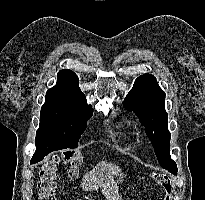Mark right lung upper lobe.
<instances>
[{"label": "right lung upper lobe", "instance_id": "1", "mask_svg": "<svg viewBox=\"0 0 205 200\" xmlns=\"http://www.w3.org/2000/svg\"><path fill=\"white\" fill-rule=\"evenodd\" d=\"M56 85L73 89L75 91L82 93L79 88L78 76L69 69H64L58 72Z\"/></svg>", "mask_w": 205, "mask_h": 200}]
</instances>
